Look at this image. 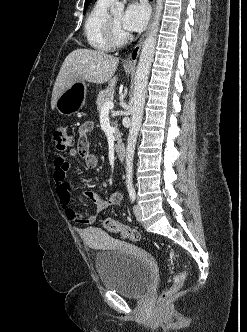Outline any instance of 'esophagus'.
<instances>
[{"label":"esophagus","instance_id":"1","mask_svg":"<svg viewBox=\"0 0 247 332\" xmlns=\"http://www.w3.org/2000/svg\"><path fill=\"white\" fill-rule=\"evenodd\" d=\"M151 6H152V10H153V15H154V10H155V0H150ZM151 24L149 25V27L147 28L146 32L141 36V38L139 39V41L137 42V44L134 46V48L132 49L131 53L129 54L128 58L124 61V64L126 66H135L137 59L139 57L140 54V50L142 47V44L144 42L145 37L147 36L149 29H150Z\"/></svg>","mask_w":247,"mask_h":332}]
</instances>
